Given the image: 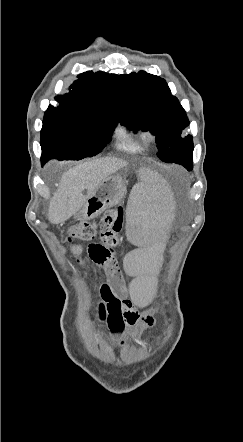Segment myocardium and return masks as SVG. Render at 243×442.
<instances>
[{
  "mask_svg": "<svg viewBox=\"0 0 243 442\" xmlns=\"http://www.w3.org/2000/svg\"><path fill=\"white\" fill-rule=\"evenodd\" d=\"M156 138H157V135H156V133H154L153 131H147V132L145 133V139H146L147 141H149V142H153V141H155Z\"/></svg>",
  "mask_w": 243,
  "mask_h": 442,
  "instance_id": "1",
  "label": "myocardium"
}]
</instances>
